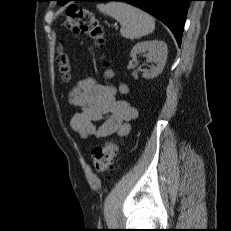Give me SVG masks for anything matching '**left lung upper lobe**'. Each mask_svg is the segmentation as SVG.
I'll return each mask as SVG.
<instances>
[{
    "label": "left lung upper lobe",
    "mask_w": 231,
    "mask_h": 231,
    "mask_svg": "<svg viewBox=\"0 0 231 231\" xmlns=\"http://www.w3.org/2000/svg\"><path fill=\"white\" fill-rule=\"evenodd\" d=\"M55 1H57L58 4L60 5V4H62V2H63L64 0H55Z\"/></svg>",
    "instance_id": "1"
}]
</instances>
